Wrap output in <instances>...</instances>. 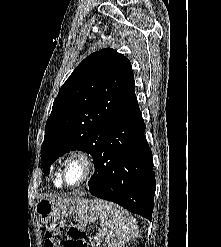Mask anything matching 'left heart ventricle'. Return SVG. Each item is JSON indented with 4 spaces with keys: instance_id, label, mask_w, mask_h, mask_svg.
<instances>
[{
    "instance_id": "obj_1",
    "label": "left heart ventricle",
    "mask_w": 221,
    "mask_h": 247,
    "mask_svg": "<svg viewBox=\"0 0 221 247\" xmlns=\"http://www.w3.org/2000/svg\"><path fill=\"white\" fill-rule=\"evenodd\" d=\"M84 175L83 166L77 161L70 162L66 167L65 179L68 184L78 183Z\"/></svg>"
}]
</instances>
